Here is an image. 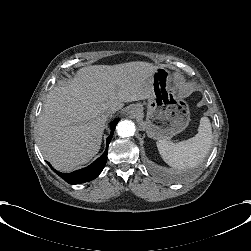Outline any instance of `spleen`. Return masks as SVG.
Returning a JSON list of instances; mask_svg holds the SVG:
<instances>
[{
	"mask_svg": "<svg viewBox=\"0 0 251 251\" xmlns=\"http://www.w3.org/2000/svg\"><path fill=\"white\" fill-rule=\"evenodd\" d=\"M213 142L212 125L209 117L199 120L198 133L176 144L173 141L158 140L157 147L163 160L174 169H194L204 161Z\"/></svg>",
	"mask_w": 251,
	"mask_h": 251,
	"instance_id": "spleen-1",
	"label": "spleen"
}]
</instances>
